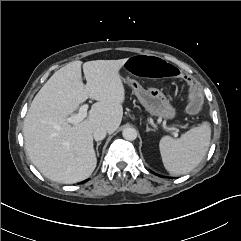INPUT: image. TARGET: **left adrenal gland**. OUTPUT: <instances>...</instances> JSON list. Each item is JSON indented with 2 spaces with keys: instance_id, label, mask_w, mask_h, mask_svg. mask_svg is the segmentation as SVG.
<instances>
[{
  "instance_id": "obj_1",
  "label": "left adrenal gland",
  "mask_w": 241,
  "mask_h": 241,
  "mask_svg": "<svg viewBox=\"0 0 241 241\" xmlns=\"http://www.w3.org/2000/svg\"><path fill=\"white\" fill-rule=\"evenodd\" d=\"M146 131H147V132H149V131H154V129L149 128V127H148V124H147V126H146Z\"/></svg>"
}]
</instances>
